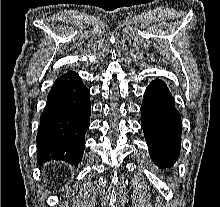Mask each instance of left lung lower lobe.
<instances>
[{"mask_svg":"<svg viewBox=\"0 0 220 207\" xmlns=\"http://www.w3.org/2000/svg\"><path fill=\"white\" fill-rule=\"evenodd\" d=\"M141 112V126L151 157L161 168L171 166L179 156L181 119L163 81L154 80L147 87Z\"/></svg>","mask_w":220,"mask_h":207,"instance_id":"left-lung-lower-lobe-1","label":"left lung lower lobe"}]
</instances>
